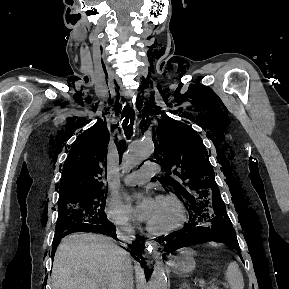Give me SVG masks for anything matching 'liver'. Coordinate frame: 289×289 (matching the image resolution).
I'll use <instances>...</instances> for the list:
<instances>
[{
	"label": "liver",
	"mask_w": 289,
	"mask_h": 289,
	"mask_svg": "<svg viewBox=\"0 0 289 289\" xmlns=\"http://www.w3.org/2000/svg\"><path fill=\"white\" fill-rule=\"evenodd\" d=\"M127 251L110 238L72 234L57 247L52 268V289H117Z\"/></svg>",
	"instance_id": "liver-1"
}]
</instances>
